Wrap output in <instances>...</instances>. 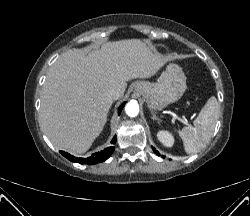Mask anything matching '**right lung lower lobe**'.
I'll use <instances>...</instances> for the list:
<instances>
[{"label": "right lung lower lobe", "instance_id": "obj_1", "mask_svg": "<svg viewBox=\"0 0 250 216\" xmlns=\"http://www.w3.org/2000/svg\"><path fill=\"white\" fill-rule=\"evenodd\" d=\"M124 105H125V102L118 108L119 115ZM112 142L113 143L116 142V137L113 138ZM113 151H114V147H108L102 150L101 152H97L93 154L91 157H88V158H76L64 151H60V153L72 162H77L81 164H96V163H100L108 159Z\"/></svg>", "mask_w": 250, "mask_h": 216}]
</instances>
